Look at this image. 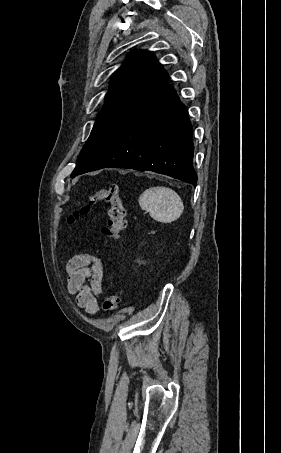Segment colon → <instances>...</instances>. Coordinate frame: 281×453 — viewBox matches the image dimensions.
I'll list each match as a JSON object with an SVG mask.
<instances>
[{"label": "colon", "mask_w": 281, "mask_h": 453, "mask_svg": "<svg viewBox=\"0 0 281 453\" xmlns=\"http://www.w3.org/2000/svg\"><path fill=\"white\" fill-rule=\"evenodd\" d=\"M98 203L109 207L108 220L101 228V234L108 240H118L120 233L128 227L125 199L119 183L100 187L94 194L88 196L84 205L69 216V224L78 225L82 223L87 216V210ZM121 302L122 294L119 291L113 292L103 301L102 310L106 313L114 312Z\"/></svg>", "instance_id": "obj_1"}]
</instances>
